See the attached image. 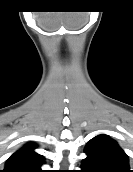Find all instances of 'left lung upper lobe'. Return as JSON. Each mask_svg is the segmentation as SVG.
<instances>
[{"label": "left lung upper lobe", "instance_id": "obj_1", "mask_svg": "<svg viewBox=\"0 0 133 172\" xmlns=\"http://www.w3.org/2000/svg\"><path fill=\"white\" fill-rule=\"evenodd\" d=\"M87 157L81 172H132L128 156L119 145L105 134L92 138L85 147Z\"/></svg>", "mask_w": 133, "mask_h": 172}]
</instances>
